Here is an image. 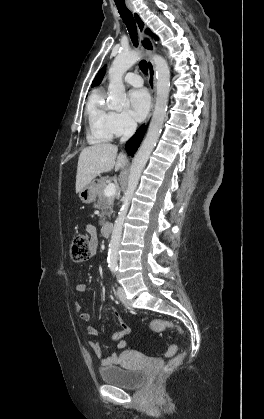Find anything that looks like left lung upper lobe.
I'll return each mask as SVG.
<instances>
[{"mask_svg":"<svg viewBox=\"0 0 264 419\" xmlns=\"http://www.w3.org/2000/svg\"><path fill=\"white\" fill-rule=\"evenodd\" d=\"M147 33H150V30L149 29H147Z\"/></svg>","mask_w":264,"mask_h":419,"instance_id":"obj_1","label":"left lung upper lobe"}]
</instances>
